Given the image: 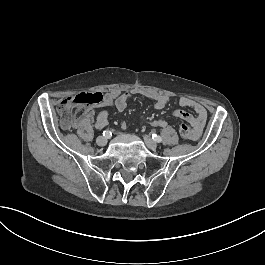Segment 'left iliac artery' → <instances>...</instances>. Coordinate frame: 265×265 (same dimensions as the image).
Masks as SVG:
<instances>
[{
	"instance_id": "1",
	"label": "left iliac artery",
	"mask_w": 265,
	"mask_h": 265,
	"mask_svg": "<svg viewBox=\"0 0 265 265\" xmlns=\"http://www.w3.org/2000/svg\"><path fill=\"white\" fill-rule=\"evenodd\" d=\"M152 138L155 142H158V143L162 141V138L157 134H152Z\"/></svg>"
}]
</instances>
